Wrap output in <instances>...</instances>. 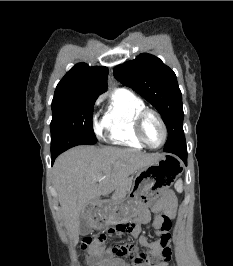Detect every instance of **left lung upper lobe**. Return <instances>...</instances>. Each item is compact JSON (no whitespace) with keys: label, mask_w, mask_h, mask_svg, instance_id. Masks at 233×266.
Instances as JSON below:
<instances>
[{"label":"left lung upper lobe","mask_w":233,"mask_h":266,"mask_svg":"<svg viewBox=\"0 0 233 266\" xmlns=\"http://www.w3.org/2000/svg\"><path fill=\"white\" fill-rule=\"evenodd\" d=\"M114 76L158 110L168 130L165 147L184 136L182 94L177 78L159 58L142 53L115 67Z\"/></svg>","instance_id":"1"}]
</instances>
